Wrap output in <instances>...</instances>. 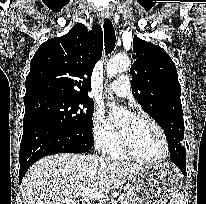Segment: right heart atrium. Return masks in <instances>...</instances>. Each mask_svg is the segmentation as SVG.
I'll return each mask as SVG.
<instances>
[{"mask_svg": "<svg viewBox=\"0 0 206 204\" xmlns=\"http://www.w3.org/2000/svg\"><path fill=\"white\" fill-rule=\"evenodd\" d=\"M92 137L101 152H108L118 140V133L101 110L92 117Z\"/></svg>", "mask_w": 206, "mask_h": 204, "instance_id": "right-heart-atrium-1", "label": "right heart atrium"}]
</instances>
